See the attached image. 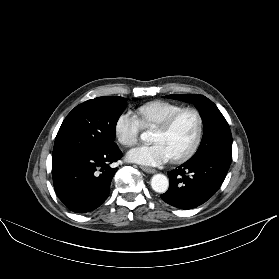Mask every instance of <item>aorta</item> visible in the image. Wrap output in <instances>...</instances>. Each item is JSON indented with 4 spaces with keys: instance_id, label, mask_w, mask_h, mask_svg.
<instances>
[{
    "instance_id": "762f6f07",
    "label": "aorta",
    "mask_w": 279,
    "mask_h": 279,
    "mask_svg": "<svg viewBox=\"0 0 279 279\" xmlns=\"http://www.w3.org/2000/svg\"><path fill=\"white\" fill-rule=\"evenodd\" d=\"M149 134L144 132L141 134L142 140H147ZM151 187L157 193H165L169 187V180L163 174H155L151 179Z\"/></svg>"
}]
</instances>
